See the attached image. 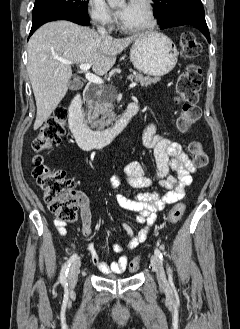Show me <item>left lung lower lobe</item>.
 I'll return each instance as SVG.
<instances>
[{
  "label": "left lung lower lobe",
  "instance_id": "obj_1",
  "mask_svg": "<svg viewBox=\"0 0 240 329\" xmlns=\"http://www.w3.org/2000/svg\"><path fill=\"white\" fill-rule=\"evenodd\" d=\"M192 25L199 29L210 42V34L205 21V16L193 13H179L170 16L163 24L160 25L161 29L170 27Z\"/></svg>",
  "mask_w": 240,
  "mask_h": 329
}]
</instances>
